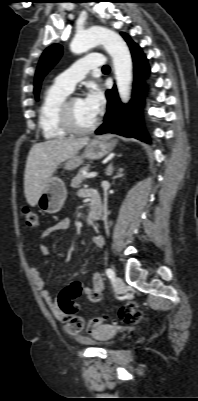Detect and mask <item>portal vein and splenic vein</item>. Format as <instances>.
I'll use <instances>...</instances> for the list:
<instances>
[{
	"label": "portal vein and splenic vein",
	"mask_w": 198,
	"mask_h": 401,
	"mask_svg": "<svg viewBox=\"0 0 198 401\" xmlns=\"http://www.w3.org/2000/svg\"><path fill=\"white\" fill-rule=\"evenodd\" d=\"M96 176H97V173H96V172H92V173L86 174V177H87V178H94V177H96Z\"/></svg>",
	"instance_id": "portal-vein-and-splenic-vein-1"
}]
</instances>
